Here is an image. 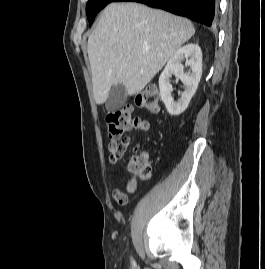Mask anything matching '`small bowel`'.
I'll return each mask as SVG.
<instances>
[{"instance_id": "c3829d8e", "label": "small bowel", "mask_w": 265, "mask_h": 269, "mask_svg": "<svg viewBox=\"0 0 265 269\" xmlns=\"http://www.w3.org/2000/svg\"><path fill=\"white\" fill-rule=\"evenodd\" d=\"M147 130H149V123H148V121L145 120V127L141 131H147ZM127 146H128V140H126V141L112 140L108 144L110 161L112 163H117L123 157V155L127 149ZM127 188L129 190V192H134L137 188V185L135 183L130 182L127 185ZM112 196H113L115 202L120 206H124L128 202V196L118 189H114L112 191Z\"/></svg>"}]
</instances>
